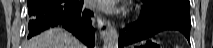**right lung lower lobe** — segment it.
Masks as SVG:
<instances>
[{"label": "right lung lower lobe", "instance_id": "obj_1", "mask_svg": "<svg viewBox=\"0 0 213 48\" xmlns=\"http://www.w3.org/2000/svg\"><path fill=\"white\" fill-rule=\"evenodd\" d=\"M30 17L28 38L57 25L94 47L93 13L83 8V0H27Z\"/></svg>", "mask_w": 213, "mask_h": 48}]
</instances>
